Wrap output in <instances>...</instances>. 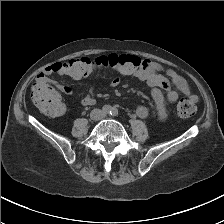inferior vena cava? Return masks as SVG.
I'll use <instances>...</instances> for the list:
<instances>
[{"label":"inferior vena cava","instance_id":"602c4592","mask_svg":"<svg viewBox=\"0 0 224 224\" xmlns=\"http://www.w3.org/2000/svg\"><path fill=\"white\" fill-rule=\"evenodd\" d=\"M94 111H97L98 112V114L96 116H93L92 115V117L94 118V120H100V119H102V118L105 117V114L101 110L94 109L92 112H94Z\"/></svg>","mask_w":224,"mask_h":224}]
</instances>
